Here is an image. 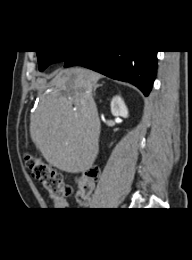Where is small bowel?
Segmentation results:
<instances>
[{
    "mask_svg": "<svg viewBox=\"0 0 192 260\" xmlns=\"http://www.w3.org/2000/svg\"><path fill=\"white\" fill-rule=\"evenodd\" d=\"M69 207V202L66 199L55 201L54 208L56 210H66Z\"/></svg>",
    "mask_w": 192,
    "mask_h": 260,
    "instance_id": "c3829d8e",
    "label": "small bowel"
}]
</instances>
